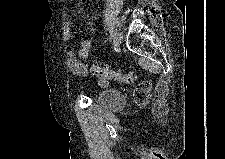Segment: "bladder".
<instances>
[{
	"label": "bladder",
	"instance_id": "obj_1",
	"mask_svg": "<svg viewBox=\"0 0 225 159\" xmlns=\"http://www.w3.org/2000/svg\"><path fill=\"white\" fill-rule=\"evenodd\" d=\"M96 102L101 107L110 111L119 110L125 105L123 95L120 92L109 88L99 91Z\"/></svg>",
	"mask_w": 225,
	"mask_h": 159
}]
</instances>
